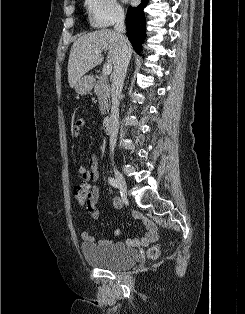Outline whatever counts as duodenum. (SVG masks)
Listing matches in <instances>:
<instances>
[{"label": "duodenum", "mask_w": 245, "mask_h": 314, "mask_svg": "<svg viewBox=\"0 0 245 314\" xmlns=\"http://www.w3.org/2000/svg\"><path fill=\"white\" fill-rule=\"evenodd\" d=\"M102 127L106 133H109L111 131V117L110 116L104 117V119L102 120Z\"/></svg>", "instance_id": "410a0bca"}]
</instances>
